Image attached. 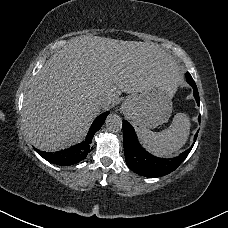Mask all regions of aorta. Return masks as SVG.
Here are the masks:
<instances>
[{"label": "aorta", "instance_id": "1", "mask_svg": "<svg viewBox=\"0 0 228 228\" xmlns=\"http://www.w3.org/2000/svg\"><path fill=\"white\" fill-rule=\"evenodd\" d=\"M106 128L110 131V132H119L122 129V119L116 115V114H110L106 121Z\"/></svg>", "mask_w": 228, "mask_h": 228}]
</instances>
